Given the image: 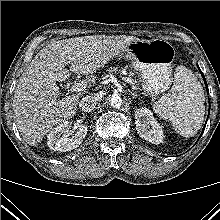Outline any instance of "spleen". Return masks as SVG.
Wrapping results in <instances>:
<instances>
[{"label": "spleen", "mask_w": 220, "mask_h": 220, "mask_svg": "<svg viewBox=\"0 0 220 220\" xmlns=\"http://www.w3.org/2000/svg\"><path fill=\"white\" fill-rule=\"evenodd\" d=\"M174 84L170 93L154 103L155 113L169 119L183 137H192L201 128L205 114V95L202 85L185 66L175 69Z\"/></svg>", "instance_id": "1"}]
</instances>
